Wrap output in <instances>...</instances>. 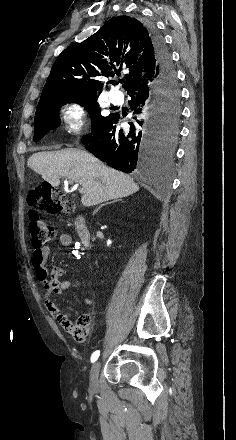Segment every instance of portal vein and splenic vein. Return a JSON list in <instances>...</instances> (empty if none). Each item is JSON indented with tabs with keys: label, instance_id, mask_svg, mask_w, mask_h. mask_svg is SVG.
<instances>
[{
	"label": "portal vein and splenic vein",
	"instance_id": "portal-vein-and-splenic-vein-1",
	"mask_svg": "<svg viewBox=\"0 0 236 440\" xmlns=\"http://www.w3.org/2000/svg\"><path fill=\"white\" fill-rule=\"evenodd\" d=\"M66 182H67V180H66ZM70 183H72V182L70 181ZM75 187H78V184H76ZM79 192L82 193L83 192L82 189H79Z\"/></svg>",
	"mask_w": 236,
	"mask_h": 440
}]
</instances>
